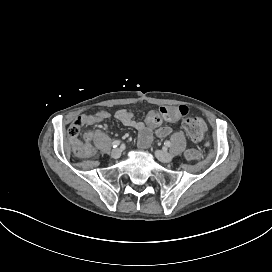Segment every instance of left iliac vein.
Returning a JSON list of instances; mask_svg holds the SVG:
<instances>
[{
    "instance_id": "1",
    "label": "left iliac vein",
    "mask_w": 272,
    "mask_h": 272,
    "mask_svg": "<svg viewBox=\"0 0 272 272\" xmlns=\"http://www.w3.org/2000/svg\"><path fill=\"white\" fill-rule=\"evenodd\" d=\"M155 154L156 157L164 163H170L173 160V155L164 150H156Z\"/></svg>"
}]
</instances>
